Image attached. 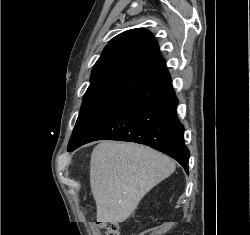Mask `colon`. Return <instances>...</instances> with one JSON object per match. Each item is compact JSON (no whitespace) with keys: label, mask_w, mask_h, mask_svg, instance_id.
Segmentation results:
<instances>
[{"label":"colon","mask_w":250,"mask_h":235,"mask_svg":"<svg viewBox=\"0 0 250 235\" xmlns=\"http://www.w3.org/2000/svg\"><path fill=\"white\" fill-rule=\"evenodd\" d=\"M98 225L103 231L104 235H120L119 225L117 222L102 221L98 222Z\"/></svg>","instance_id":"colon-1"}]
</instances>
